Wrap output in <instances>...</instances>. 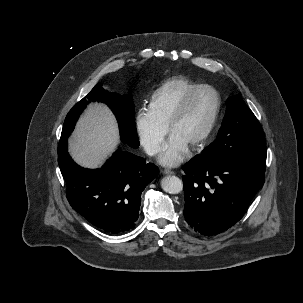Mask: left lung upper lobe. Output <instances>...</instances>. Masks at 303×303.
Returning a JSON list of instances; mask_svg holds the SVG:
<instances>
[{
  "label": "left lung upper lobe",
  "mask_w": 303,
  "mask_h": 303,
  "mask_svg": "<svg viewBox=\"0 0 303 303\" xmlns=\"http://www.w3.org/2000/svg\"><path fill=\"white\" fill-rule=\"evenodd\" d=\"M200 156L212 160L229 159L265 172L266 142L262 127L239 95L228 99L217 138Z\"/></svg>",
  "instance_id": "obj_1"
}]
</instances>
